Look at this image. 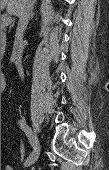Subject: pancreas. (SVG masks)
I'll list each match as a JSON object with an SVG mask.
<instances>
[{"label":"pancreas","mask_w":109,"mask_h":170,"mask_svg":"<svg viewBox=\"0 0 109 170\" xmlns=\"http://www.w3.org/2000/svg\"><path fill=\"white\" fill-rule=\"evenodd\" d=\"M6 31H7L6 26L1 25V41L3 45L5 44V41H6Z\"/></svg>","instance_id":"cf45deb5"}]
</instances>
